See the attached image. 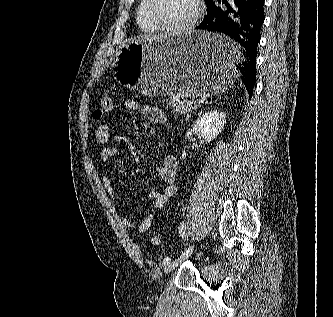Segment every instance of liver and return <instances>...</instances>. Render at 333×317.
I'll return each mask as SVG.
<instances>
[{"mask_svg": "<svg viewBox=\"0 0 333 317\" xmlns=\"http://www.w3.org/2000/svg\"><path fill=\"white\" fill-rule=\"evenodd\" d=\"M158 36H165V35H158ZM154 37H157V36H154ZM146 38H150L148 36H142V37H139L138 39H146Z\"/></svg>", "mask_w": 333, "mask_h": 317, "instance_id": "obj_1", "label": "liver"}]
</instances>
